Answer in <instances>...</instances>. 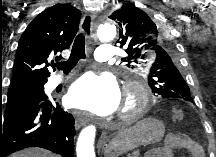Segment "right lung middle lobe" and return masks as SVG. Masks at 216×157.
<instances>
[{
	"mask_svg": "<svg viewBox=\"0 0 216 157\" xmlns=\"http://www.w3.org/2000/svg\"><path fill=\"white\" fill-rule=\"evenodd\" d=\"M31 98H46L43 85L31 86L8 92L6 109L13 107L14 105H17L19 103L29 101ZM0 111H2V104L0 106Z\"/></svg>",
	"mask_w": 216,
	"mask_h": 157,
	"instance_id": "obj_1",
	"label": "right lung middle lobe"
}]
</instances>
